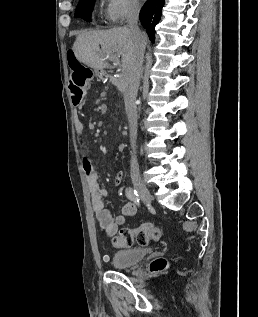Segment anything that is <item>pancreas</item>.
I'll return each mask as SVG.
<instances>
[{
	"mask_svg": "<svg viewBox=\"0 0 258 317\" xmlns=\"http://www.w3.org/2000/svg\"><path fill=\"white\" fill-rule=\"evenodd\" d=\"M111 80L113 83H118V84H123L124 82L122 81V78H119L118 76H113Z\"/></svg>",
	"mask_w": 258,
	"mask_h": 317,
	"instance_id": "1",
	"label": "pancreas"
}]
</instances>
